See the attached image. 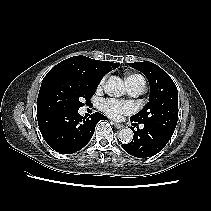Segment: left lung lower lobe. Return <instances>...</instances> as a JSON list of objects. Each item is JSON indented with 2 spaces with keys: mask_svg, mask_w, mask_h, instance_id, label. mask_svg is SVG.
<instances>
[{
  "mask_svg": "<svg viewBox=\"0 0 211 211\" xmlns=\"http://www.w3.org/2000/svg\"><path fill=\"white\" fill-rule=\"evenodd\" d=\"M131 129L134 132L133 141L123 144L122 148L130 155L138 158L154 156L166 146L172 137V135L148 125H144L143 129L137 128V131H134V128Z\"/></svg>",
  "mask_w": 211,
  "mask_h": 211,
  "instance_id": "obj_1",
  "label": "left lung lower lobe"
}]
</instances>
